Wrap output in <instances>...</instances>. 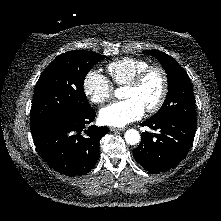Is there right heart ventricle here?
Instances as JSON below:
<instances>
[{"label": "right heart ventricle", "instance_id": "e07e8e85", "mask_svg": "<svg viewBox=\"0 0 221 221\" xmlns=\"http://www.w3.org/2000/svg\"><path fill=\"white\" fill-rule=\"evenodd\" d=\"M150 63L142 58L122 57L110 62L106 70L112 81L118 86L126 85L137 73L148 67Z\"/></svg>", "mask_w": 221, "mask_h": 221}]
</instances>
